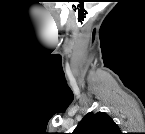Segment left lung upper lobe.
Masks as SVG:
<instances>
[{"instance_id": "5c2ea615", "label": "left lung upper lobe", "mask_w": 145, "mask_h": 134, "mask_svg": "<svg viewBox=\"0 0 145 134\" xmlns=\"http://www.w3.org/2000/svg\"><path fill=\"white\" fill-rule=\"evenodd\" d=\"M73 134H120V129L106 113L89 112L78 123Z\"/></svg>"}]
</instances>
